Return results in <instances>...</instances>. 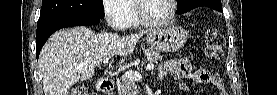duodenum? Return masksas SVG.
Returning a JSON list of instances; mask_svg holds the SVG:
<instances>
[{"mask_svg": "<svg viewBox=\"0 0 277 95\" xmlns=\"http://www.w3.org/2000/svg\"><path fill=\"white\" fill-rule=\"evenodd\" d=\"M96 87L101 93H108L114 87V81L109 79H98L96 81Z\"/></svg>", "mask_w": 277, "mask_h": 95, "instance_id": "1", "label": "duodenum"}]
</instances>
